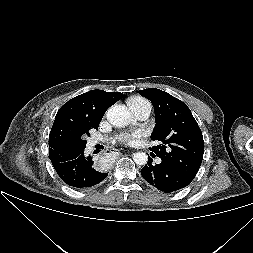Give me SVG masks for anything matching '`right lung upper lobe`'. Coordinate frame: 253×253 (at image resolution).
Masks as SVG:
<instances>
[{"mask_svg":"<svg viewBox=\"0 0 253 253\" xmlns=\"http://www.w3.org/2000/svg\"><path fill=\"white\" fill-rule=\"evenodd\" d=\"M123 94L91 90L70 99L57 112L49 135V156H67L86 147V135L98 129L106 110Z\"/></svg>","mask_w":253,"mask_h":253,"instance_id":"right-lung-upper-lobe-1","label":"right lung upper lobe"}]
</instances>
